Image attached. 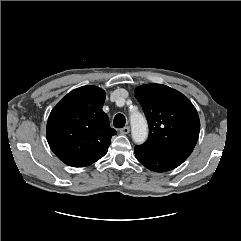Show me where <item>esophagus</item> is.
<instances>
[{
	"label": "esophagus",
	"mask_w": 241,
	"mask_h": 241,
	"mask_svg": "<svg viewBox=\"0 0 241 241\" xmlns=\"http://www.w3.org/2000/svg\"><path fill=\"white\" fill-rule=\"evenodd\" d=\"M130 132V128L128 126H125L123 128L120 129V133L123 135H126Z\"/></svg>",
	"instance_id": "34e87169"
}]
</instances>
